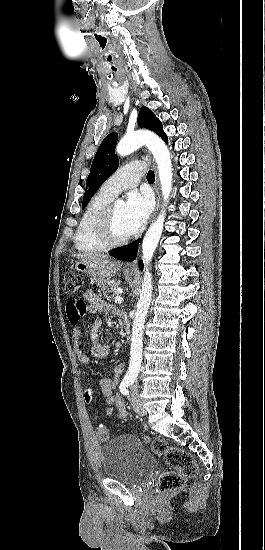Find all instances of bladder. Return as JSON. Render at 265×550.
<instances>
[{
  "label": "bladder",
  "mask_w": 265,
  "mask_h": 550,
  "mask_svg": "<svg viewBox=\"0 0 265 550\" xmlns=\"http://www.w3.org/2000/svg\"><path fill=\"white\" fill-rule=\"evenodd\" d=\"M103 474L125 484L139 485L157 467V459L136 436L123 434L101 447Z\"/></svg>",
  "instance_id": "bladder-1"
}]
</instances>
